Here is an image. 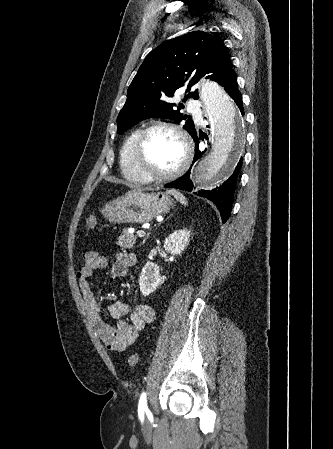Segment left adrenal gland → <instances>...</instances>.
Instances as JSON below:
<instances>
[{
  "instance_id": "obj_1",
  "label": "left adrenal gland",
  "mask_w": 333,
  "mask_h": 449,
  "mask_svg": "<svg viewBox=\"0 0 333 449\" xmlns=\"http://www.w3.org/2000/svg\"><path fill=\"white\" fill-rule=\"evenodd\" d=\"M148 237H149V234L144 238V240H143V243L142 244H144L145 242H146V240L148 239Z\"/></svg>"
}]
</instances>
